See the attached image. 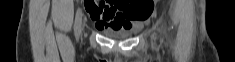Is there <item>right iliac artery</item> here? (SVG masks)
<instances>
[{
    "label": "right iliac artery",
    "instance_id": "right-iliac-artery-1",
    "mask_svg": "<svg viewBox=\"0 0 235 62\" xmlns=\"http://www.w3.org/2000/svg\"><path fill=\"white\" fill-rule=\"evenodd\" d=\"M81 16H82V11L81 9H78L76 13V17H75V24H74V32L76 36L81 25Z\"/></svg>",
    "mask_w": 235,
    "mask_h": 62
}]
</instances>
